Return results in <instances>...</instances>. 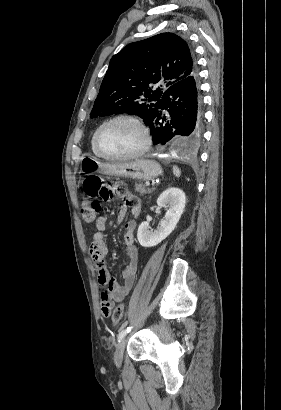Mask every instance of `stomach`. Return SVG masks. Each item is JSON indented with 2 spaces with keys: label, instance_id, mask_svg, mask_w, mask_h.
<instances>
[{
  "label": "stomach",
  "instance_id": "1",
  "mask_svg": "<svg viewBox=\"0 0 281 410\" xmlns=\"http://www.w3.org/2000/svg\"><path fill=\"white\" fill-rule=\"evenodd\" d=\"M81 172H95L111 176L138 180H151L162 173L160 165L148 159H136L121 163H101L93 157H83L80 161Z\"/></svg>",
  "mask_w": 281,
  "mask_h": 410
}]
</instances>
